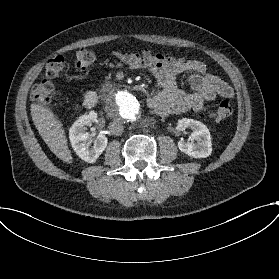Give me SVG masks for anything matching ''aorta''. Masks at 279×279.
<instances>
[{"label":"aorta","mask_w":279,"mask_h":279,"mask_svg":"<svg viewBox=\"0 0 279 279\" xmlns=\"http://www.w3.org/2000/svg\"><path fill=\"white\" fill-rule=\"evenodd\" d=\"M107 112L114 121L134 122L140 116V102L128 91L114 92L108 98Z\"/></svg>","instance_id":"aorta-1"}]
</instances>
